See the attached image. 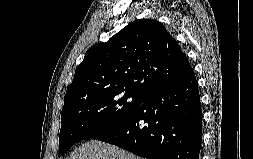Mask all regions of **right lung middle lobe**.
<instances>
[{
	"instance_id": "obj_1",
	"label": "right lung middle lobe",
	"mask_w": 253,
	"mask_h": 159,
	"mask_svg": "<svg viewBox=\"0 0 253 159\" xmlns=\"http://www.w3.org/2000/svg\"><path fill=\"white\" fill-rule=\"evenodd\" d=\"M144 95L133 91H108L64 104L61 112L59 151L64 154L76 142L93 138L128 118Z\"/></svg>"
}]
</instances>
